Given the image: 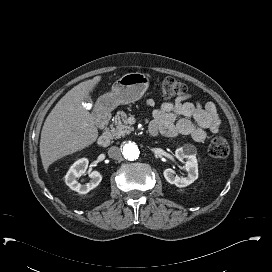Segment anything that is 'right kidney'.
<instances>
[{"label": "right kidney", "mask_w": 272, "mask_h": 272, "mask_svg": "<svg viewBox=\"0 0 272 272\" xmlns=\"http://www.w3.org/2000/svg\"><path fill=\"white\" fill-rule=\"evenodd\" d=\"M88 163L89 161L87 158H81L77 160L65 175L66 185H68L72 190L78 192L79 194L88 193L90 190L97 187L102 180V176L98 171H92L89 172V177L91 179L88 183L82 185L77 181V178L86 172Z\"/></svg>", "instance_id": "right-kidney-1"}]
</instances>
